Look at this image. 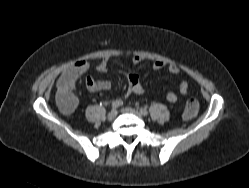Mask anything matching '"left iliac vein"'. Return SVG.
Segmentation results:
<instances>
[{"label": "left iliac vein", "instance_id": "obj_1", "mask_svg": "<svg viewBox=\"0 0 249 188\" xmlns=\"http://www.w3.org/2000/svg\"><path fill=\"white\" fill-rule=\"evenodd\" d=\"M121 111L125 112V113L134 114V115L139 116V117L143 116L138 110L131 108V107L122 108Z\"/></svg>", "mask_w": 249, "mask_h": 188}]
</instances>
